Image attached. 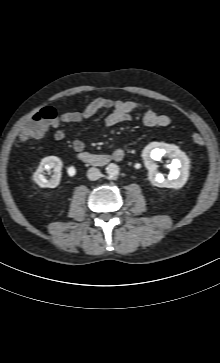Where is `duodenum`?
<instances>
[{"instance_id": "duodenum-1", "label": "duodenum", "mask_w": 220, "mask_h": 363, "mask_svg": "<svg viewBox=\"0 0 220 363\" xmlns=\"http://www.w3.org/2000/svg\"><path fill=\"white\" fill-rule=\"evenodd\" d=\"M125 156V153L122 149L116 150L113 154H94L89 152H81L79 153V158L90 165L96 167H103L112 161H121Z\"/></svg>"}]
</instances>
